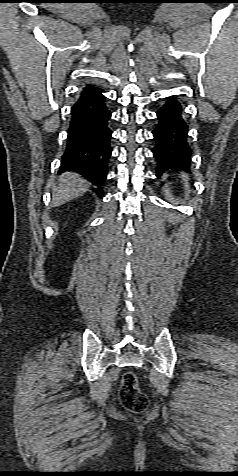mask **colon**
<instances>
[{
	"mask_svg": "<svg viewBox=\"0 0 238 476\" xmlns=\"http://www.w3.org/2000/svg\"><path fill=\"white\" fill-rule=\"evenodd\" d=\"M121 404L134 413L143 412L147 405V396L140 390L137 376L128 371L123 374L119 389Z\"/></svg>",
	"mask_w": 238,
	"mask_h": 476,
	"instance_id": "1",
	"label": "colon"
}]
</instances>
